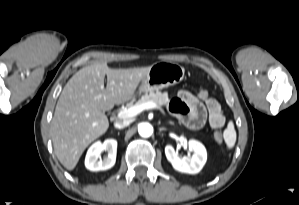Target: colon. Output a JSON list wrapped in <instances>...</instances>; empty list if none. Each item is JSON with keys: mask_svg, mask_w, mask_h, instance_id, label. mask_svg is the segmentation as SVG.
<instances>
[{"mask_svg": "<svg viewBox=\"0 0 299 205\" xmlns=\"http://www.w3.org/2000/svg\"><path fill=\"white\" fill-rule=\"evenodd\" d=\"M198 96H199L201 99H203V100H206V99L209 98V94H208V92H207L206 90H204V89H201V90L199 91ZM214 138H215V140H216L218 143H222L223 140H224V136H223L222 131H220V130H216V131L214 132Z\"/></svg>", "mask_w": 299, "mask_h": 205, "instance_id": "1", "label": "colon"}]
</instances>
